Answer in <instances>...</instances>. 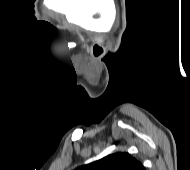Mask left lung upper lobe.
<instances>
[{
    "label": "left lung upper lobe",
    "instance_id": "5c2ea615",
    "mask_svg": "<svg viewBox=\"0 0 190 170\" xmlns=\"http://www.w3.org/2000/svg\"><path fill=\"white\" fill-rule=\"evenodd\" d=\"M76 170H145V168L129 153L118 152L81 166Z\"/></svg>",
    "mask_w": 190,
    "mask_h": 170
}]
</instances>
